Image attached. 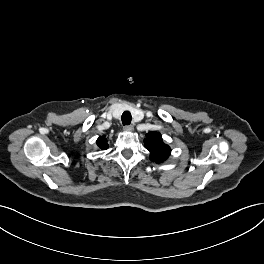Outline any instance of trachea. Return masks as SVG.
Returning <instances> with one entry per match:
<instances>
[{
	"label": "trachea",
	"mask_w": 264,
	"mask_h": 264,
	"mask_svg": "<svg viewBox=\"0 0 264 264\" xmlns=\"http://www.w3.org/2000/svg\"><path fill=\"white\" fill-rule=\"evenodd\" d=\"M121 119H122L123 125H130L131 120H132L131 113L129 111L123 112Z\"/></svg>",
	"instance_id": "obj_1"
}]
</instances>
